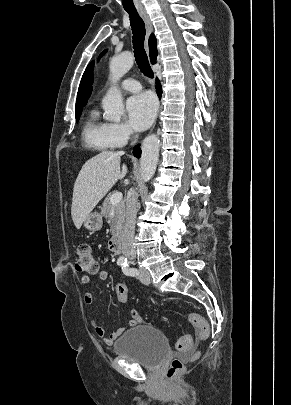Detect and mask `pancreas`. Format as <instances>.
I'll return each mask as SVG.
<instances>
[{
	"mask_svg": "<svg viewBox=\"0 0 291 405\" xmlns=\"http://www.w3.org/2000/svg\"><path fill=\"white\" fill-rule=\"evenodd\" d=\"M113 194L114 192L109 193L105 198L101 209V215L106 219H110V212L114 209V217L111 219L110 231L113 236H117L122 230V225L125 219V203L124 201H121L116 205H112L111 197Z\"/></svg>",
	"mask_w": 291,
	"mask_h": 405,
	"instance_id": "cf45deb5",
	"label": "pancreas"
}]
</instances>
